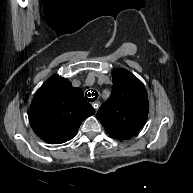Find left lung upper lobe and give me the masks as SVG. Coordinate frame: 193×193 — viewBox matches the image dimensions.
I'll return each instance as SVG.
<instances>
[{
  "instance_id": "1",
  "label": "left lung upper lobe",
  "mask_w": 193,
  "mask_h": 193,
  "mask_svg": "<svg viewBox=\"0 0 193 193\" xmlns=\"http://www.w3.org/2000/svg\"><path fill=\"white\" fill-rule=\"evenodd\" d=\"M112 82V95L98 110L97 118L110 136L128 140L147 120V92L142 82L126 69L114 70Z\"/></svg>"
}]
</instances>
